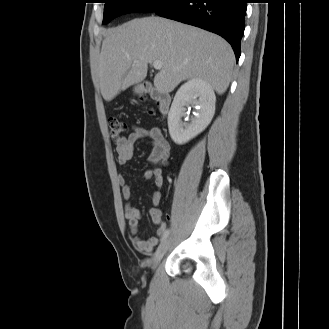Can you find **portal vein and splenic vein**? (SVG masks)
I'll use <instances>...</instances> for the list:
<instances>
[{
	"label": "portal vein and splenic vein",
	"instance_id": "18ae733b",
	"mask_svg": "<svg viewBox=\"0 0 329 329\" xmlns=\"http://www.w3.org/2000/svg\"><path fill=\"white\" fill-rule=\"evenodd\" d=\"M163 64L161 61H154L153 62V67L156 69V70H160L162 68Z\"/></svg>",
	"mask_w": 329,
	"mask_h": 329
}]
</instances>
